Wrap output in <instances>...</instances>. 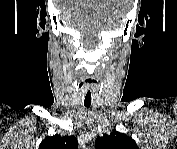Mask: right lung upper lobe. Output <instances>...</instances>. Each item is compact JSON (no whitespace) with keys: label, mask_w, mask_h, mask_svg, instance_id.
Instances as JSON below:
<instances>
[{"label":"right lung upper lobe","mask_w":177,"mask_h":149,"mask_svg":"<svg viewBox=\"0 0 177 149\" xmlns=\"http://www.w3.org/2000/svg\"><path fill=\"white\" fill-rule=\"evenodd\" d=\"M39 149H78V143L74 136L56 134L46 137L39 145Z\"/></svg>","instance_id":"obj_1"}]
</instances>
